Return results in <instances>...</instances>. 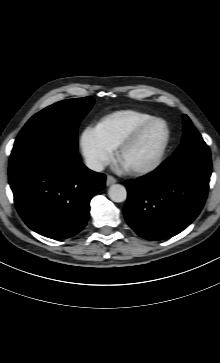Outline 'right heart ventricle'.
I'll list each match as a JSON object with an SVG mask.
<instances>
[{
	"mask_svg": "<svg viewBox=\"0 0 220 363\" xmlns=\"http://www.w3.org/2000/svg\"><path fill=\"white\" fill-rule=\"evenodd\" d=\"M154 118V116L137 110H119L102 117L95 129L98 135L112 149L137 126Z\"/></svg>",
	"mask_w": 220,
	"mask_h": 363,
	"instance_id": "right-heart-ventricle-1",
	"label": "right heart ventricle"
}]
</instances>
